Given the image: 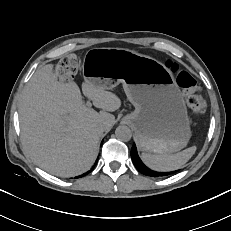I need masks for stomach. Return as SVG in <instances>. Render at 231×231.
Returning <instances> with one entry per match:
<instances>
[{
  "instance_id": "obj_1",
  "label": "stomach",
  "mask_w": 231,
  "mask_h": 231,
  "mask_svg": "<svg viewBox=\"0 0 231 231\" xmlns=\"http://www.w3.org/2000/svg\"><path fill=\"white\" fill-rule=\"evenodd\" d=\"M83 76L93 85L111 89L123 84L135 110L123 120L135 131L140 150L172 154L190 137V120L183 95L172 72L161 62L121 48H96L87 52Z\"/></svg>"
}]
</instances>
